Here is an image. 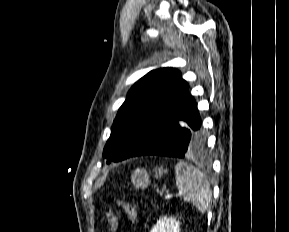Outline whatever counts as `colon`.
<instances>
[{"label":"colon","instance_id":"1","mask_svg":"<svg viewBox=\"0 0 289 232\" xmlns=\"http://www.w3.org/2000/svg\"><path fill=\"white\" fill-rule=\"evenodd\" d=\"M115 207L124 209L131 222H135L137 219L136 208L130 202L124 199H114L113 206H109L105 211V219L109 225V232H117L118 229V212Z\"/></svg>","mask_w":289,"mask_h":232}]
</instances>
